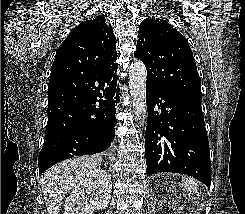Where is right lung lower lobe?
Segmentation results:
<instances>
[{
    "label": "right lung lower lobe",
    "instance_id": "1",
    "mask_svg": "<svg viewBox=\"0 0 245 214\" xmlns=\"http://www.w3.org/2000/svg\"><path fill=\"white\" fill-rule=\"evenodd\" d=\"M115 72L97 73L93 86L79 98L49 96L48 122L38 160L40 174L65 159L100 153L111 146L120 95Z\"/></svg>",
    "mask_w": 245,
    "mask_h": 214
}]
</instances>
